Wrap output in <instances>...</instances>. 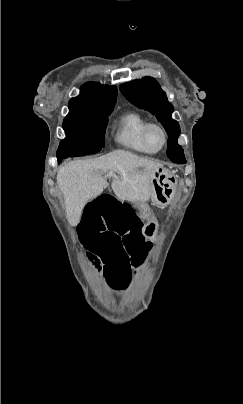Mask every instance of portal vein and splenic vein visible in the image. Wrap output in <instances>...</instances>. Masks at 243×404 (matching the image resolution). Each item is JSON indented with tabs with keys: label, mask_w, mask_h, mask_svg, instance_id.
I'll return each instance as SVG.
<instances>
[{
	"label": "portal vein and splenic vein",
	"mask_w": 243,
	"mask_h": 404,
	"mask_svg": "<svg viewBox=\"0 0 243 404\" xmlns=\"http://www.w3.org/2000/svg\"><path fill=\"white\" fill-rule=\"evenodd\" d=\"M108 176H113V172H109Z\"/></svg>",
	"instance_id": "portal-vein-and-splenic-vein-1"
}]
</instances>
